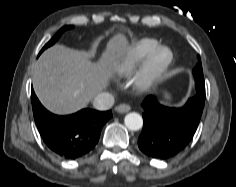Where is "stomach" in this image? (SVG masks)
Segmentation results:
<instances>
[{"mask_svg":"<svg viewBox=\"0 0 236 187\" xmlns=\"http://www.w3.org/2000/svg\"><path fill=\"white\" fill-rule=\"evenodd\" d=\"M163 99L165 103H169L170 101V95L167 92H164Z\"/></svg>","mask_w":236,"mask_h":187,"instance_id":"0dacf381","label":"stomach"}]
</instances>
